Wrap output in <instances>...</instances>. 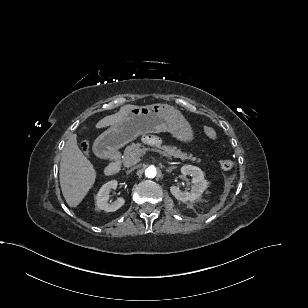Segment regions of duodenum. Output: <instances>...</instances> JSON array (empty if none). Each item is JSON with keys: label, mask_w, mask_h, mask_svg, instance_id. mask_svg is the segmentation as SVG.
Segmentation results:
<instances>
[{"label": "duodenum", "mask_w": 308, "mask_h": 308, "mask_svg": "<svg viewBox=\"0 0 308 308\" xmlns=\"http://www.w3.org/2000/svg\"><path fill=\"white\" fill-rule=\"evenodd\" d=\"M98 154L109 160V164L105 169L108 176H114L120 170V151L107 143L101 144L97 149Z\"/></svg>", "instance_id": "duodenum-1"}]
</instances>
